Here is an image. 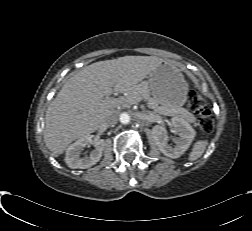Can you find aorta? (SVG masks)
<instances>
[{"mask_svg":"<svg viewBox=\"0 0 252 231\" xmlns=\"http://www.w3.org/2000/svg\"><path fill=\"white\" fill-rule=\"evenodd\" d=\"M120 122L122 124H128L130 122V116L127 113H122L120 115Z\"/></svg>","mask_w":252,"mask_h":231,"instance_id":"762f6f07","label":"aorta"}]
</instances>
